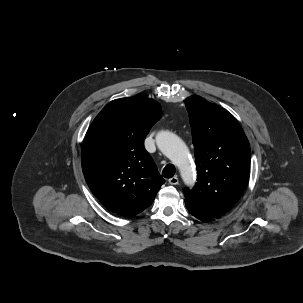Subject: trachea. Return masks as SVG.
Segmentation results:
<instances>
[{
    "mask_svg": "<svg viewBox=\"0 0 303 303\" xmlns=\"http://www.w3.org/2000/svg\"><path fill=\"white\" fill-rule=\"evenodd\" d=\"M175 167L173 164H167L162 171V176L165 178H172L175 174Z\"/></svg>",
    "mask_w": 303,
    "mask_h": 303,
    "instance_id": "trachea-1",
    "label": "trachea"
}]
</instances>
